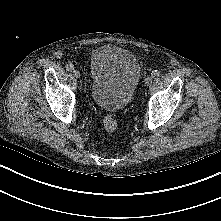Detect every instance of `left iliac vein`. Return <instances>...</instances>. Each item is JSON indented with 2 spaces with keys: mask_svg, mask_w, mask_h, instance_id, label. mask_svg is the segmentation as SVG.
Instances as JSON below:
<instances>
[{
  "mask_svg": "<svg viewBox=\"0 0 221 221\" xmlns=\"http://www.w3.org/2000/svg\"><path fill=\"white\" fill-rule=\"evenodd\" d=\"M152 77L151 76H148L146 79H145V84L148 86L152 83Z\"/></svg>",
  "mask_w": 221,
  "mask_h": 221,
  "instance_id": "4c4485c4",
  "label": "left iliac vein"
}]
</instances>
